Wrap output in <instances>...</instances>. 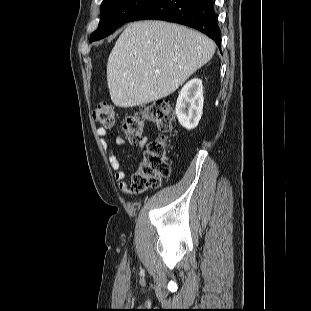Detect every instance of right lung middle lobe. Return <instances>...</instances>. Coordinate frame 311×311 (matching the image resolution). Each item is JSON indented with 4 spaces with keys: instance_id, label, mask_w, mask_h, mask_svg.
I'll return each mask as SVG.
<instances>
[{
    "instance_id": "right-lung-middle-lobe-1",
    "label": "right lung middle lobe",
    "mask_w": 311,
    "mask_h": 311,
    "mask_svg": "<svg viewBox=\"0 0 311 311\" xmlns=\"http://www.w3.org/2000/svg\"><path fill=\"white\" fill-rule=\"evenodd\" d=\"M153 0H103L101 19L97 30L91 35L90 42L102 39L115 31L138 10Z\"/></svg>"
}]
</instances>
